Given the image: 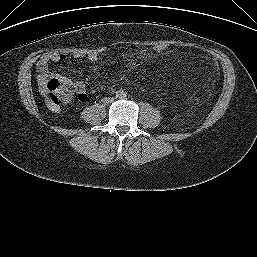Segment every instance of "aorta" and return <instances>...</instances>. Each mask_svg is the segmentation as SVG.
<instances>
[{
  "mask_svg": "<svg viewBox=\"0 0 257 257\" xmlns=\"http://www.w3.org/2000/svg\"><path fill=\"white\" fill-rule=\"evenodd\" d=\"M127 96V93L125 91H118L117 92V97L118 98H125Z\"/></svg>",
  "mask_w": 257,
  "mask_h": 257,
  "instance_id": "aorta-1",
  "label": "aorta"
}]
</instances>
